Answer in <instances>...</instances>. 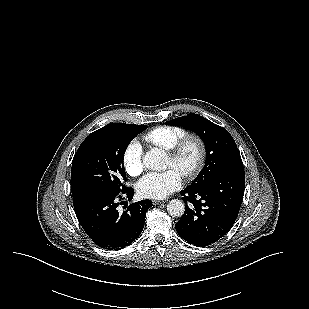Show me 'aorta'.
<instances>
[{"label": "aorta", "instance_id": "1", "mask_svg": "<svg viewBox=\"0 0 309 309\" xmlns=\"http://www.w3.org/2000/svg\"><path fill=\"white\" fill-rule=\"evenodd\" d=\"M165 160V153L160 149L148 151L144 158V165L151 170H160ZM167 211L172 217H181L185 212V205L181 200L173 199L167 205Z\"/></svg>", "mask_w": 309, "mask_h": 309}]
</instances>
